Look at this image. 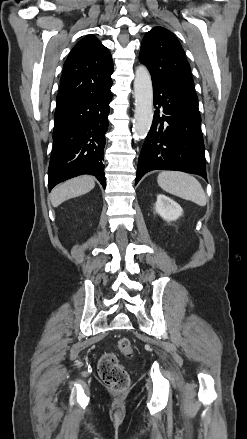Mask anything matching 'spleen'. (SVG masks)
<instances>
[{
    "mask_svg": "<svg viewBox=\"0 0 247 439\" xmlns=\"http://www.w3.org/2000/svg\"><path fill=\"white\" fill-rule=\"evenodd\" d=\"M158 185L166 192L185 200L194 202L199 206L206 205L205 192L199 181L184 172L163 171L157 177Z\"/></svg>",
    "mask_w": 247,
    "mask_h": 439,
    "instance_id": "1",
    "label": "spleen"
}]
</instances>
